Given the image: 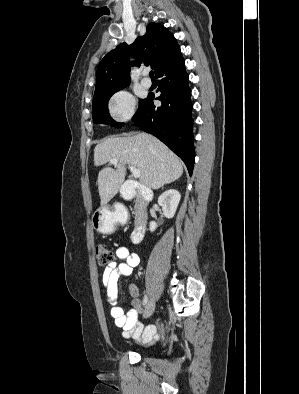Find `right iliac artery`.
I'll return each instance as SVG.
<instances>
[{"mask_svg":"<svg viewBox=\"0 0 299 394\" xmlns=\"http://www.w3.org/2000/svg\"><path fill=\"white\" fill-rule=\"evenodd\" d=\"M147 302H148V296L144 295V297H143V306H145L147 304ZM151 326H153V325H151ZM148 327H150V326H148Z\"/></svg>","mask_w":299,"mask_h":394,"instance_id":"obj_1","label":"right iliac artery"}]
</instances>
